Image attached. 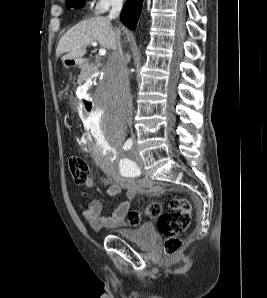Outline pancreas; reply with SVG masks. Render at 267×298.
<instances>
[{
  "instance_id": "obj_1",
  "label": "pancreas",
  "mask_w": 267,
  "mask_h": 298,
  "mask_svg": "<svg viewBox=\"0 0 267 298\" xmlns=\"http://www.w3.org/2000/svg\"><path fill=\"white\" fill-rule=\"evenodd\" d=\"M101 66V64H97V65H89L87 68H85L83 71H82V74H81V80H85V79H88L92 76L93 73L97 72L98 71V68Z\"/></svg>"
}]
</instances>
